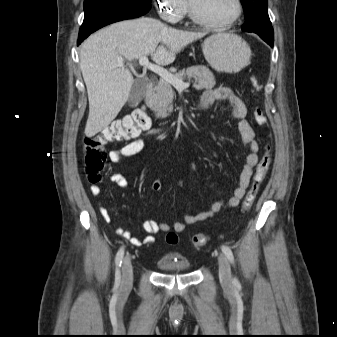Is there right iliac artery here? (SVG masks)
I'll list each match as a JSON object with an SVG mask.
<instances>
[{"label": "right iliac artery", "instance_id": "82829eb1", "mask_svg": "<svg viewBox=\"0 0 337 337\" xmlns=\"http://www.w3.org/2000/svg\"><path fill=\"white\" fill-rule=\"evenodd\" d=\"M124 256V248H120V250L117 252L116 254V258H115V263H116V273H115V286H118L120 283V266L122 263V259Z\"/></svg>", "mask_w": 337, "mask_h": 337}]
</instances>
